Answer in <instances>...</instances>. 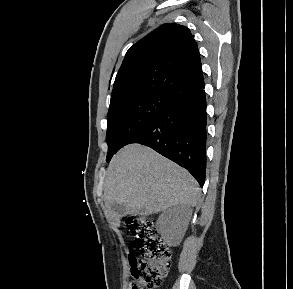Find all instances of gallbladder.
I'll list each match as a JSON object with an SVG mask.
<instances>
[{"label":"gallbladder","mask_w":293,"mask_h":289,"mask_svg":"<svg viewBox=\"0 0 293 289\" xmlns=\"http://www.w3.org/2000/svg\"><path fill=\"white\" fill-rule=\"evenodd\" d=\"M112 210L120 216H124L127 212L126 206L124 204H114L112 205Z\"/></svg>","instance_id":"gallbladder-1"}]
</instances>
